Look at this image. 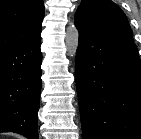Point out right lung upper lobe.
Here are the masks:
<instances>
[{
    "mask_svg": "<svg viewBox=\"0 0 141 139\" xmlns=\"http://www.w3.org/2000/svg\"><path fill=\"white\" fill-rule=\"evenodd\" d=\"M43 0L0 1V50L41 36Z\"/></svg>",
    "mask_w": 141,
    "mask_h": 139,
    "instance_id": "1",
    "label": "right lung upper lobe"
}]
</instances>
